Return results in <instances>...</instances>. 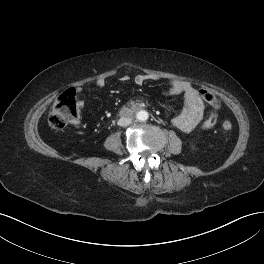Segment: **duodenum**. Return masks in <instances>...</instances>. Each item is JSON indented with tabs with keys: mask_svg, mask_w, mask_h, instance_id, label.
<instances>
[{
	"mask_svg": "<svg viewBox=\"0 0 264 264\" xmlns=\"http://www.w3.org/2000/svg\"><path fill=\"white\" fill-rule=\"evenodd\" d=\"M141 109H142L141 105H135V106H133L131 108H128V109L124 110V116H129L132 113L137 112V111H139Z\"/></svg>",
	"mask_w": 264,
	"mask_h": 264,
	"instance_id": "1",
	"label": "duodenum"
}]
</instances>
